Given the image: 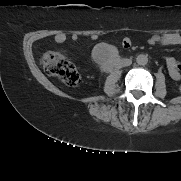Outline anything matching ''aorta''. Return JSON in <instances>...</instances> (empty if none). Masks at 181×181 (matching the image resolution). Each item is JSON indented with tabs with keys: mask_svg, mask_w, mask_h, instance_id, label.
<instances>
[{
	"mask_svg": "<svg viewBox=\"0 0 181 181\" xmlns=\"http://www.w3.org/2000/svg\"><path fill=\"white\" fill-rule=\"evenodd\" d=\"M136 62L138 65H146L148 63V56L145 54H139L136 57Z\"/></svg>",
	"mask_w": 181,
	"mask_h": 181,
	"instance_id": "aorta-1",
	"label": "aorta"
}]
</instances>
